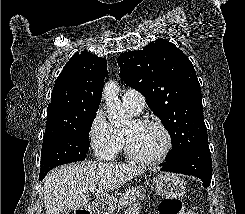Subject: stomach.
<instances>
[{
    "instance_id": "0dacf381",
    "label": "stomach",
    "mask_w": 245,
    "mask_h": 214,
    "mask_svg": "<svg viewBox=\"0 0 245 214\" xmlns=\"http://www.w3.org/2000/svg\"><path fill=\"white\" fill-rule=\"evenodd\" d=\"M153 187L159 196L167 199H178L185 194L186 184L184 180L173 173H161L153 179ZM115 198L109 200V205L113 206Z\"/></svg>"
}]
</instances>
